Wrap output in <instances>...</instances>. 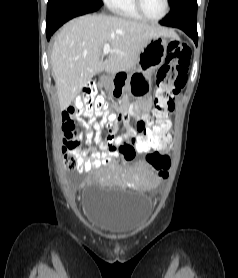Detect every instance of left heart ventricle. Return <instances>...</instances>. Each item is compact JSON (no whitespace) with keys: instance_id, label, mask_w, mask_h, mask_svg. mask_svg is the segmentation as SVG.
Wrapping results in <instances>:
<instances>
[{"instance_id":"left-heart-ventricle-1","label":"left heart ventricle","mask_w":238,"mask_h":278,"mask_svg":"<svg viewBox=\"0 0 238 278\" xmlns=\"http://www.w3.org/2000/svg\"><path fill=\"white\" fill-rule=\"evenodd\" d=\"M143 7L148 16L159 18L165 11V0H142Z\"/></svg>"}]
</instances>
